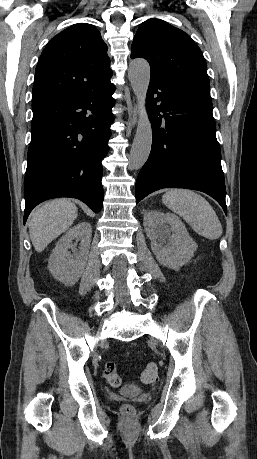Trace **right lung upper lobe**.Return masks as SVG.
Wrapping results in <instances>:
<instances>
[{"instance_id": "right-lung-upper-lobe-1", "label": "right lung upper lobe", "mask_w": 257, "mask_h": 459, "mask_svg": "<svg viewBox=\"0 0 257 459\" xmlns=\"http://www.w3.org/2000/svg\"><path fill=\"white\" fill-rule=\"evenodd\" d=\"M107 46L91 24H74L47 44L38 61L32 108L75 98L110 83Z\"/></svg>"}]
</instances>
